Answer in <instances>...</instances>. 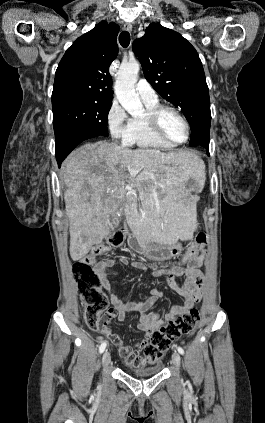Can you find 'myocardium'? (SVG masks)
<instances>
[{
    "label": "myocardium",
    "instance_id": "myocardium-1",
    "mask_svg": "<svg viewBox=\"0 0 265 423\" xmlns=\"http://www.w3.org/2000/svg\"><path fill=\"white\" fill-rule=\"evenodd\" d=\"M170 111L177 115L181 121L183 122L185 128H186V137L181 142H176L170 139L162 130L161 127V116L163 113ZM146 120L147 123L152 130V132L162 141L165 143L172 145V146H181L188 142L191 134V126L185 115L176 107L170 106V105H157L153 109H150L146 113Z\"/></svg>",
    "mask_w": 265,
    "mask_h": 423
}]
</instances>
